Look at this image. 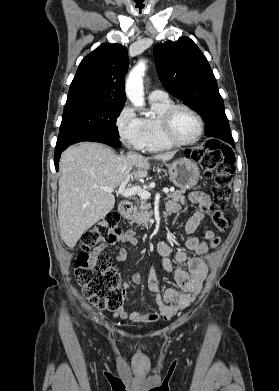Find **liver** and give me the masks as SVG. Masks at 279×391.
I'll return each instance as SVG.
<instances>
[{"label":"liver","mask_w":279,"mask_h":391,"mask_svg":"<svg viewBox=\"0 0 279 391\" xmlns=\"http://www.w3.org/2000/svg\"><path fill=\"white\" fill-rule=\"evenodd\" d=\"M175 152L152 158L132 154L117 155L110 148L92 142H82L66 149L60 160L61 176L58 192L60 236L73 248L80 237L113 209L115 198L100 187L116 188L128 176H147L150 159L171 160Z\"/></svg>","instance_id":"1"}]
</instances>
